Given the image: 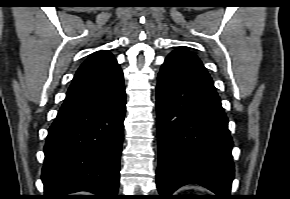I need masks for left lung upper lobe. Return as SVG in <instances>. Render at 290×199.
<instances>
[{"mask_svg": "<svg viewBox=\"0 0 290 199\" xmlns=\"http://www.w3.org/2000/svg\"><path fill=\"white\" fill-rule=\"evenodd\" d=\"M179 49H181V50H185V49H182V48H179ZM185 51H187V50H185ZM189 52V51H188ZM191 53V52H190ZM191 54H193V53H191ZM194 55V54H193Z\"/></svg>", "mask_w": 290, "mask_h": 199, "instance_id": "5c2ea615", "label": "left lung upper lobe"}]
</instances>
